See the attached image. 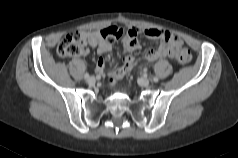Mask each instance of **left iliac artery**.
Segmentation results:
<instances>
[{"instance_id": "44dca946", "label": "left iliac artery", "mask_w": 238, "mask_h": 158, "mask_svg": "<svg viewBox=\"0 0 238 158\" xmlns=\"http://www.w3.org/2000/svg\"><path fill=\"white\" fill-rule=\"evenodd\" d=\"M153 81L154 82H158V78L157 77H153Z\"/></svg>"}]
</instances>
